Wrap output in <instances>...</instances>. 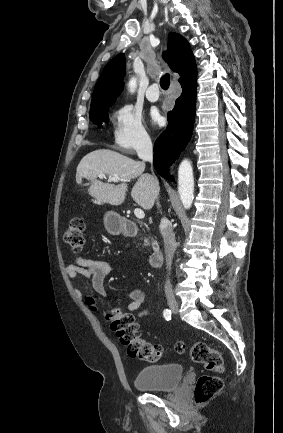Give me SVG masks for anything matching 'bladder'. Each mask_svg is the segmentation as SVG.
Returning <instances> with one entry per match:
<instances>
[{"mask_svg": "<svg viewBox=\"0 0 283 433\" xmlns=\"http://www.w3.org/2000/svg\"><path fill=\"white\" fill-rule=\"evenodd\" d=\"M182 364L142 367L133 381L134 386L152 392H167L178 386L184 374Z\"/></svg>", "mask_w": 283, "mask_h": 433, "instance_id": "31cf9c89", "label": "bladder"}]
</instances>
